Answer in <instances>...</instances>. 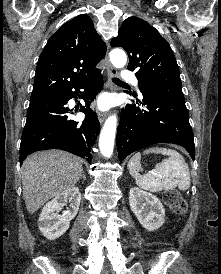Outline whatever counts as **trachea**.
I'll list each match as a JSON object with an SVG mask.
<instances>
[{
	"instance_id": "obj_1",
	"label": "trachea",
	"mask_w": 221,
	"mask_h": 274,
	"mask_svg": "<svg viewBox=\"0 0 221 274\" xmlns=\"http://www.w3.org/2000/svg\"><path fill=\"white\" fill-rule=\"evenodd\" d=\"M112 80H113V82H115V83H124V82H122L121 80H119L118 78H113Z\"/></svg>"
}]
</instances>
